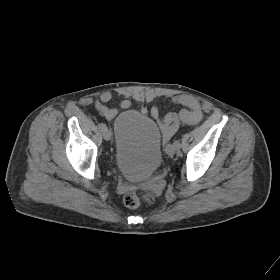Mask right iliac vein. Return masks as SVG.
I'll list each match as a JSON object with an SVG mask.
<instances>
[{
  "label": "right iliac vein",
  "instance_id": "1",
  "mask_svg": "<svg viewBox=\"0 0 280 280\" xmlns=\"http://www.w3.org/2000/svg\"><path fill=\"white\" fill-rule=\"evenodd\" d=\"M103 138L107 141L111 139V132L107 128L103 130Z\"/></svg>",
  "mask_w": 280,
  "mask_h": 280
}]
</instances>
